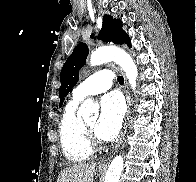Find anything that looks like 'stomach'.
Segmentation results:
<instances>
[{
  "label": "stomach",
  "mask_w": 196,
  "mask_h": 182,
  "mask_svg": "<svg viewBox=\"0 0 196 182\" xmlns=\"http://www.w3.org/2000/svg\"><path fill=\"white\" fill-rule=\"evenodd\" d=\"M103 170L102 169H99V172H102Z\"/></svg>",
  "instance_id": "stomach-1"
}]
</instances>
